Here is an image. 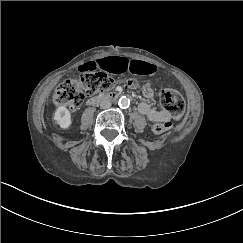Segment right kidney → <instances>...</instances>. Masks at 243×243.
Masks as SVG:
<instances>
[{"label":"right kidney","mask_w":243,"mask_h":243,"mask_svg":"<svg viewBox=\"0 0 243 243\" xmlns=\"http://www.w3.org/2000/svg\"><path fill=\"white\" fill-rule=\"evenodd\" d=\"M53 120L62 129H69L73 122L71 112L64 106H60L55 110Z\"/></svg>","instance_id":"obj_1"}]
</instances>
